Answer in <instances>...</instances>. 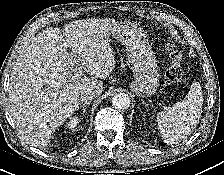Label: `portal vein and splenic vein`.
I'll return each instance as SVG.
<instances>
[{
    "label": "portal vein and splenic vein",
    "instance_id": "portal-vein-and-splenic-vein-1",
    "mask_svg": "<svg viewBox=\"0 0 224 175\" xmlns=\"http://www.w3.org/2000/svg\"><path fill=\"white\" fill-rule=\"evenodd\" d=\"M83 76V71L81 69L73 76L75 79H80Z\"/></svg>",
    "mask_w": 224,
    "mask_h": 175
}]
</instances>
